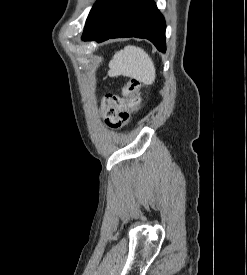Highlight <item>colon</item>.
I'll use <instances>...</instances> for the list:
<instances>
[{
  "label": "colon",
  "instance_id": "colon-1",
  "mask_svg": "<svg viewBox=\"0 0 247 275\" xmlns=\"http://www.w3.org/2000/svg\"><path fill=\"white\" fill-rule=\"evenodd\" d=\"M140 104V83L130 80L123 87V96L108 94L103 99L105 122L111 128H121L131 123V115Z\"/></svg>",
  "mask_w": 247,
  "mask_h": 275
}]
</instances>
